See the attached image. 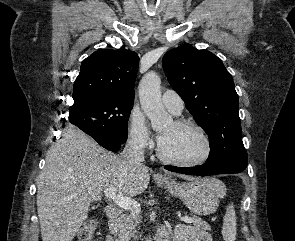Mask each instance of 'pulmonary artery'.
Wrapping results in <instances>:
<instances>
[{"instance_id": "pulmonary-artery-1", "label": "pulmonary artery", "mask_w": 295, "mask_h": 241, "mask_svg": "<svg viewBox=\"0 0 295 241\" xmlns=\"http://www.w3.org/2000/svg\"><path fill=\"white\" fill-rule=\"evenodd\" d=\"M162 103L165 108L174 115H179L184 107L183 100L173 90H166L161 97Z\"/></svg>"}]
</instances>
